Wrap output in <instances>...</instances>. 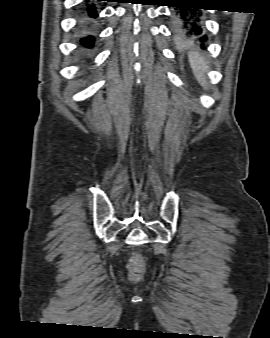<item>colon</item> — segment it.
Instances as JSON below:
<instances>
[{
	"mask_svg": "<svg viewBox=\"0 0 270 338\" xmlns=\"http://www.w3.org/2000/svg\"><path fill=\"white\" fill-rule=\"evenodd\" d=\"M128 270H129V276L132 279H137L141 273L142 270V259L138 255H134L131 257L129 265H128Z\"/></svg>",
	"mask_w": 270,
	"mask_h": 338,
	"instance_id": "colon-1",
	"label": "colon"
}]
</instances>
